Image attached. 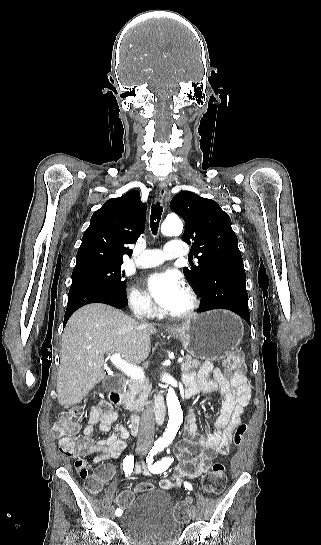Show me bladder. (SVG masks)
<instances>
[{
	"label": "bladder",
	"instance_id": "1",
	"mask_svg": "<svg viewBox=\"0 0 321 545\" xmlns=\"http://www.w3.org/2000/svg\"><path fill=\"white\" fill-rule=\"evenodd\" d=\"M118 521L130 545H176L182 534L172 499L161 489L153 488L136 495L122 510Z\"/></svg>",
	"mask_w": 321,
	"mask_h": 545
}]
</instances>
